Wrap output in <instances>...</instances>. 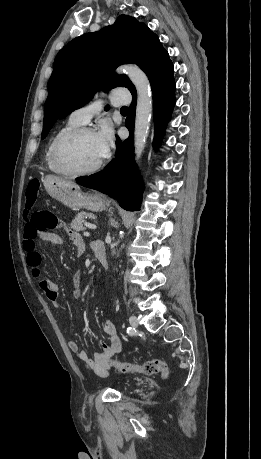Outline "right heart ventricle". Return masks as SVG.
<instances>
[{
	"instance_id": "1",
	"label": "right heart ventricle",
	"mask_w": 261,
	"mask_h": 459,
	"mask_svg": "<svg viewBox=\"0 0 261 459\" xmlns=\"http://www.w3.org/2000/svg\"><path fill=\"white\" fill-rule=\"evenodd\" d=\"M81 124H78L77 122L73 121L71 118H69L63 125H61L50 137L48 144L45 149V163L48 167V169L54 173H59L55 166L53 165L52 162V150L53 146L56 142V140L65 132L79 127ZM60 174V173H59Z\"/></svg>"
}]
</instances>
